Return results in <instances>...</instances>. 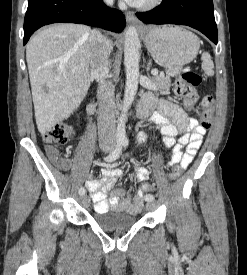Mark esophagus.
I'll return each instance as SVG.
<instances>
[{"label":"esophagus","mask_w":247,"mask_h":275,"mask_svg":"<svg viewBox=\"0 0 247 275\" xmlns=\"http://www.w3.org/2000/svg\"><path fill=\"white\" fill-rule=\"evenodd\" d=\"M125 16H126V20L129 23H137V19H136L135 14L133 12H126Z\"/></svg>","instance_id":"34e87169"}]
</instances>
